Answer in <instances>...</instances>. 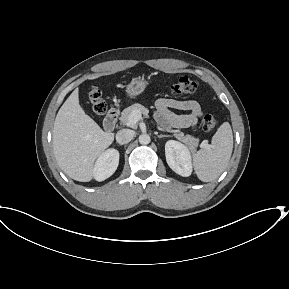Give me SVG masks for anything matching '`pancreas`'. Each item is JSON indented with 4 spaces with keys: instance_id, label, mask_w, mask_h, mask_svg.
I'll return each instance as SVG.
<instances>
[{
    "instance_id": "pancreas-1",
    "label": "pancreas",
    "mask_w": 289,
    "mask_h": 289,
    "mask_svg": "<svg viewBox=\"0 0 289 289\" xmlns=\"http://www.w3.org/2000/svg\"><path fill=\"white\" fill-rule=\"evenodd\" d=\"M135 110H138L140 111L141 113H148V109L145 108L143 105L139 104V103H135L129 107H127L126 109H124L121 113V116H120V121L121 123H123L124 125H127V126H130V127H135V125H132L129 123V116L131 115V113ZM174 136L182 141L183 143H185L189 148L190 150H192L193 152L196 151V148L198 146V142H199V139L198 138H195L191 135H184L183 133H176L174 134Z\"/></svg>"
}]
</instances>
